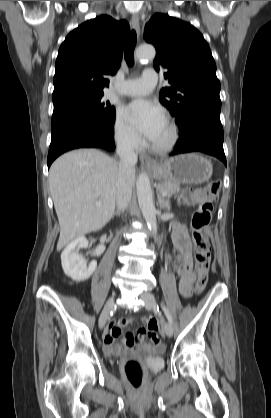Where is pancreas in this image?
I'll use <instances>...</instances> for the list:
<instances>
[{
    "label": "pancreas",
    "instance_id": "obj_1",
    "mask_svg": "<svg viewBox=\"0 0 271 418\" xmlns=\"http://www.w3.org/2000/svg\"><path fill=\"white\" fill-rule=\"evenodd\" d=\"M157 190L159 192L166 191L167 192L166 200H169V198H171L172 195L180 192L181 187H180V183H176V182L169 181V182L159 183L157 185Z\"/></svg>",
    "mask_w": 271,
    "mask_h": 418
}]
</instances>
